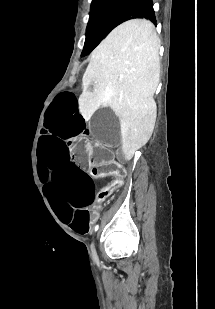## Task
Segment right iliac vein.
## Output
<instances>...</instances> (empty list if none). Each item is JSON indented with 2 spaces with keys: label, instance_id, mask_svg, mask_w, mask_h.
Returning <instances> with one entry per match:
<instances>
[{
  "label": "right iliac vein",
  "instance_id": "63e3f726",
  "mask_svg": "<svg viewBox=\"0 0 215 309\" xmlns=\"http://www.w3.org/2000/svg\"><path fill=\"white\" fill-rule=\"evenodd\" d=\"M91 250H92V252H95V247H94L93 243L91 244Z\"/></svg>",
  "mask_w": 215,
  "mask_h": 309
}]
</instances>
